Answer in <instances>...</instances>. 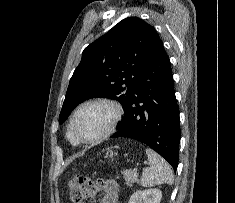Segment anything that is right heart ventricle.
<instances>
[{
	"label": "right heart ventricle",
	"instance_id": "right-heart-ventricle-1",
	"mask_svg": "<svg viewBox=\"0 0 235 203\" xmlns=\"http://www.w3.org/2000/svg\"><path fill=\"white\" fill-rule=\"evenodd\" d=\"M67 138L70 141L71 144L73 145H78L79 142L77 141V139L74 137L72 131H71V127L70 124L68 126V130H67Z\"/></svg>",
	"mask_w": 235,
	"mask_h": 203
}]
</instances>
